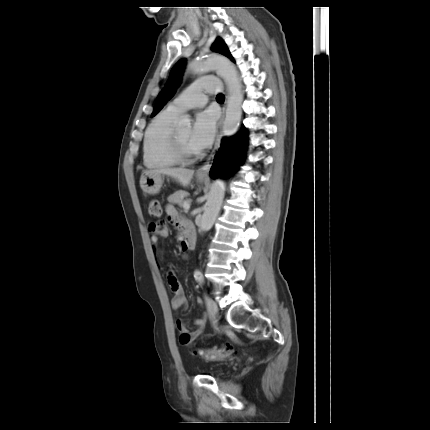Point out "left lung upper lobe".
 Listing matches in <instances>:
<instances>
[{
	"mask_svg": "<svg viewBox=\"0 0 430 430\" xmlns=\"http://www.w3.org/2000/svg\"><path fill=\"white\" fill-rule=\"evenodd\" d=\"M212 49L214 51H217L226 57L230 58L232 61H234L232 55L230 54L228 47L224 43V41L221 38H218L214 44L212 45ZM185 66V59L179 60L175 66L172 68L169 79L164 87V89L160 92V94L157 97L154 111L152 113V116L156 115L163 107V105L171 99V97L174 95V92L176 88L180 84V78L183 72Z\"/></svg>",
	"mask_w": 430,
	"mask_h": 430,
	"instance_id": "obj_1",
	"label": "left lung upper lobe"
}]
</instances>
